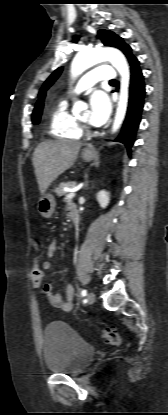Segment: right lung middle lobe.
<instances>
[{
	"label": "right lung middle lobe",
	"instance_id": "obj_1",
	"mask_svg": "<svg viewBox=\"0 0 168 415\" xmlns=\"http://www.w3.org/2000/svg\"><path fill=\"white\" fill-rule=\"evenodd\" d=\"M42 110L36 113H33V124H38L40 121Z\"/></svg>",
	"mask_w": 168,
	"mask_h": 415
}]
</instances>
